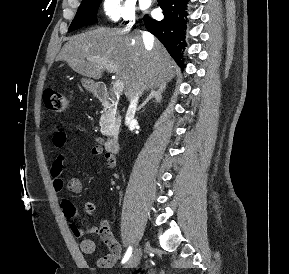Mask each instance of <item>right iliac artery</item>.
<instances>
[{
    "label": "right iliac artery",
    "mask_w": 289,
    "mask_h": 274,
    "mask_svg": "<svg viewBox=\"0 0 289 274\" xmlns=\"http://www.w3.org/2000/svg\"><path fill=\"white\" fill-rule=\"evenodd\" d=\"M131 254H132V247H129L127 249V252L125 253L123 259H122V264H124L125 262L128 261V259L130 258Z\"/></svg>",
    "instance_id": "82829eb1"
}]
</instances>
